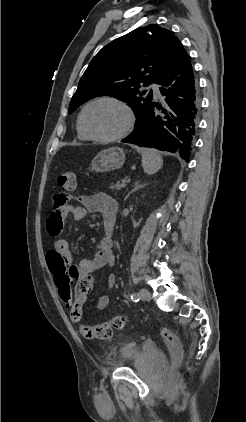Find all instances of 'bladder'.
<instances>
[{
	"label": "bladder",
	"mask_w": 246,
	"mask_h": 422,
	"mask_svg": "<svg viewBox=\"0 0 246 422\" xmlns=\"http://www.w3.org/2000/svg\"><path fill=\"white\" fill-rule=\"evenodd\" d=\"M140 356V350L134 343H125L118 350V363L121 365L133 364ZM151 365L155 369H162L166 364L165 355L159 350H151L148 354Z\"/></svg>",
	"instance_id": "1"
}]
</instances>
